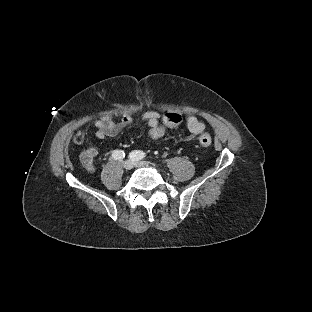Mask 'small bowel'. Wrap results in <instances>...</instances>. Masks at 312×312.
<instances>
[{
    "label": "small bowel",
    "mask_w": 312,
    "mask_h": 312,
    "mask_svg": "<svg viewBox=\"0 0 312 312\" xmlns=\"http://www.w3.org/2000/svg\"><path fill=\"white\" fill-rule=\"evenodd\" d=\"M133 119V113L124 114L119 121H115L109 116L97 119L93 122V126L96 130V137L98 139H104L106 137L117 136L127 125L132 123ZM141 119L147 123L148 135L151 138L153 128L160 124V114L156 111H148L142 115ZM185 123L190 132L188 140L194 139L205 130V123L194 115H187L185 117ZM97 154L98 150L94 146L86 147L80 153L81 163L89 173H94L96 171L94 158Z\"/></svg>",
    "instance_id": "c3829d8e"
}]
</instances>
